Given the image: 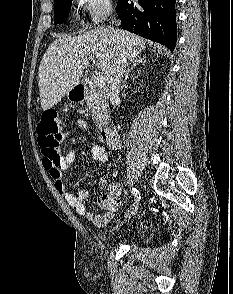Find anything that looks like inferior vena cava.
<instances>
[{
  "label": "inferior vena cava",
  "instance_id": "1",
  "mask_svg": "<svg viewBox=\"0 0 233 294\" xmlns=\"http://www.w3.org/2000/svg\"><path fill=\"white\" fill-rule=\"evenodd\" d=\"M127 65V58L126 56L121 53L116 58L112 72H111V79H110V90H109V97L111 104L115 107L120 99H119V90L120 84L125 73Z\"/></svg>",
  "mask_w": 233,
  "mask_h": 294
}]
</instances>
